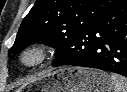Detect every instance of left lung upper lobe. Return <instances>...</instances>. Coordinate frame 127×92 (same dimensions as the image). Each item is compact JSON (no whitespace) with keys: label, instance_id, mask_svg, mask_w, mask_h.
Segmentation results:
<instances>
[{"label":"left lung upper lobe","instance_id":"obj_1","mask_svg":"<svg viewBox=\"0 0 127 92\" xmlns=\"http://www.w3.org/2000/svg\"><path fill=\"white\" fill-rule=\"evenodd\" d=\"M123 1L37 0L24 18L9 55L39 42L56 48L58 58L70 48L78 33Z\"/></svg>","mask_w":127,"mask_h":92}]
</instances>
